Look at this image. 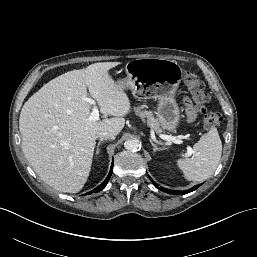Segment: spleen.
<instances>
[{
  "instance_id": "1",
  "label": "spleen",
  "mask_w": 257,
  "mask_h": 257,
  "mask_svg": "<svg viewBox=\"0 0 257 257\" xmlns=\"http://www.w3.org/2000/svg\"><path fill=\"white\" fill-rule=\"evenodd\" d=\"M194 155L176 161L178 168L188 181L200 182L208 179L217 168L222 142L215 127L201 136L193 146Z\"/></svg>"
}]
</instances>
